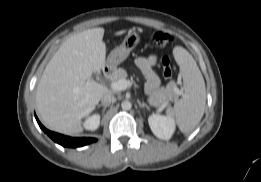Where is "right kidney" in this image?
<instances>
[{"instance_id":"1","label":"right kidney","mask_w":261,"mask_h":182,"mask_svg":"<svg viewBox=\"0 0 261 182\" xmlns=\"http://www.w3.org/2000/svg\"><path fill=\"white\" fill-rule=\"evenodd\" d=\"M99 124H100V115L94 114L88 117L84 121L83 126L86 130L94 131L98 128Z\"/></svg>"}]
</instances>
